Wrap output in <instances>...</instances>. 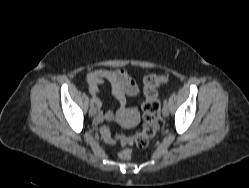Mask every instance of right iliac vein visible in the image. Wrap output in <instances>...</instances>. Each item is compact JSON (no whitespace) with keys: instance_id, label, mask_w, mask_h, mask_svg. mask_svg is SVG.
Wrapping results in <instances>:
<instances>
[{"instance_id":"right-iliac-vein-1","label":"right iliac vein","mask_w":249,"mask_h":188,"mask_svg":"<svg viewBox=\"0 0 249 188\" xmlns=\"http://www.w3.org/2000/svg\"><path fill=\"white\" fill-rule=\"evenodd\" d=\"M96 112H97V109L94 105H91L90 106V109H89V115L90 116H95L96 115Z\"/></svg>"}]
</instances>
